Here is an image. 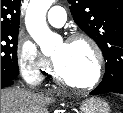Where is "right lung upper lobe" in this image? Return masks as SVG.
<instances>
[{
  "instance_id": "right-lung-upper-lobe-1",
  "label": "right lung upper lobe",
  "mask_w": 123,
  "mask_h": 113,
  "mask_svg": "<svg viewBox=\"0 0 123 113\" xmlns=\"http://www.w3.org/2000/svg\"><path fill=\"white\" fill-rule=\"evenodd\" d=\"M21 0H1V30L19 29Z\"/></svg>"
}]
</instances>
